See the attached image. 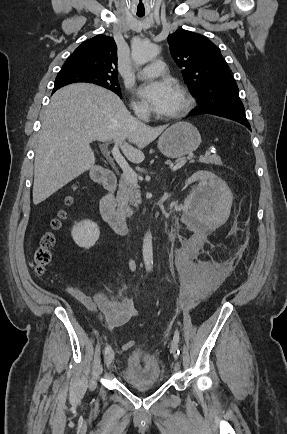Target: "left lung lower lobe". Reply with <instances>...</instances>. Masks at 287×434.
Wrapping results in <instances>:
<instances>
[{"mask_svg": "<svg viewBox=\"0 0 287 434\" xmlns=\"http://www.w3.org/2000/svg\"><path fill=\"white\" fill-rule=\"evenodd\" d=\"M200 114H213L220 117L228 118L245 125L248 129L251 130L250 124L245 116L244 108L221 107L217 109H211L207 107H199L194 109L188 116Z\"/></svg>", "mask_w": 287, "mask_h": 434, "instance_id": "obj_1", "label": "left lung lower lobe"}]
</instances>
